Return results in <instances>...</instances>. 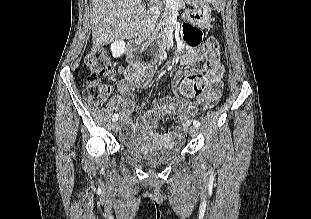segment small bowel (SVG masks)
<instances>
[{"label": "small bowel", "instance_id": "small-bowel-1", "mask_svg": "<svg viewBox=\"0 0 311 219\" xmlns=\"http://www.w3.org/2000/svg\"><path fill=\"white\" fill-rule=\"evenodd\" d=\"M183 41L186 52L181 59V65L187 70L194 61L197 44L190 42L185 35ZM222 75L223 70L211 71L210 87L200 96V103L204 107L214 106L219 99L223 87ZM124 76L125 81L119 84L121 137L124 140L139 138L160 145H170L175 141L183 140L190 117L198 111V104L186 99V94L182 93V73L178 72L172 80L176 96L174 98H153L149 107L139 111L136 120H133V115L138 111V106L133 96V90L146 88L154 76V69L146 68L141 62L131 63L125 70ZM168 116L174 117L176 124L168 132H157L158 123Z\"/></svg>", "mask_w": 311, "mask_h": 219}]
</instances>
